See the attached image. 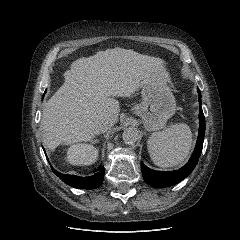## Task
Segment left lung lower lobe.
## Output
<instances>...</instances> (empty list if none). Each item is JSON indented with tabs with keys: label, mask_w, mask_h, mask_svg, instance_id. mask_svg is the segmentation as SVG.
<instances>
[{
	"label": "left lung lower lobe",
	"mask_w": 240,
	"mask_h": 240,
	"mask_svg": "<svg viewBox=\"0 0 240 240\" xmlns=\"http://www.w3.org/2000/svg\"><path fill=\"white\" fill-rule=\"evenodd\" d=\"M199 93V133L194 152L188 163L176 171H155L144 164L141 165V170L145 181L156 188L168 187L175 185L185 179L195 168L203 148L205 136V117L201 107V93Z\"/></svg>",
	"instance_id": "obj_1"
}]
</instances>
